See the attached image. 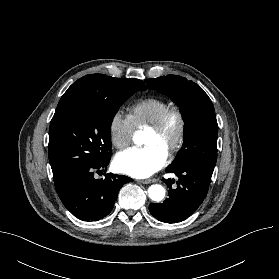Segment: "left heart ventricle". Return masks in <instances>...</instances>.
<instances>
[{"label": "left heart ventricle", "mask_w": 279, "mask_h": 279, "mask_svg": "<svg viewBox=\"0 0 279 279\" xmlns=\"http://www.w3.org/2000/svg\"><path fill=\"white\" fill-rule=\"evenodd\" d=\"M177 133L178 121L175 117H172L162 132L149 130L145 136L144 144L157 146L168 154L177 138Z\"/></svg>", "instance_id": "obj_1"}]
</instances>
